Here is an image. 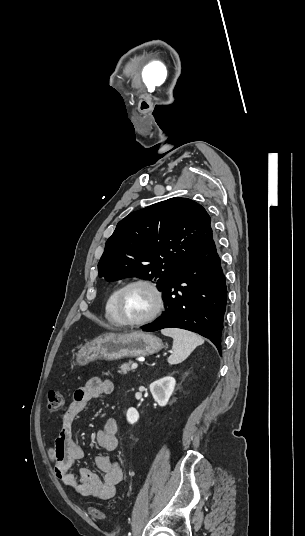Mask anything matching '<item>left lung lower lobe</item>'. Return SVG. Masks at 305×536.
I'll use <instances>...</instances> for the list:
<instances>
[{
  "instance_id": "1",
  "label": "left lung lower lobe",
  "mask_w": 305,
  "mask_h": 536,
  "mask_svg": "<svg viewBox=\"0 0 305 536\" xmlns=\"http://www.w3.org/2000/svg\"><path fill=\"white\" fill-rule=\"evenodd\" d=\"M175 289V290H174ZM167 308L143 331L182 328L208 339L221 354L227 290L216 245L211 237L163 289Z\"/></svg>"
}]
</instances>
